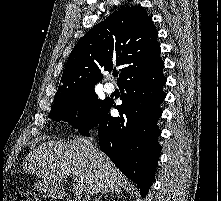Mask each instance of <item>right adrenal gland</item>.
<instances>
[{
  "label": "right adrenal gland",
  "instance_id": "2a0ac1e0",
  "mask_svg": "<svg viewBox=\"0 0 221 201\" xmlns=\"http://www.w3.org/2000/svg\"><path fill=\"white\" fill-rule=\"evenodd\" d=\"M114 192L116 193V195H118V194L120 193V190L111 191V194H113ZM107 193H108V191L102 192V193L99 195V197L97 198L96 201H100V199L102 198V196H103V195L106 196Z\"/></svg>",
  "mask_w": 221,
  "mask_h": 201
}]
</instances>
